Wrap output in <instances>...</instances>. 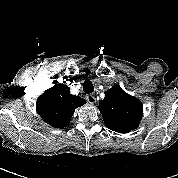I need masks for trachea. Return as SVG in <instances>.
Masks as SVG:
<instances>
[{"label": "trachea", "mask_w": 178, "mask_h": 178, "mask_svg": "<svg viewBox=\"0 0 178 178\" xmlns=\"http://www.w3.org/2000/svg\"><path fill=\"white\" fill-rule=\"evenodd\" d=\"M83 90L85 93L89 94L94 91V86L91 81L85 80L83 83Z\"/></svg>", "instance_id": "obj_1"}]
</instances>
